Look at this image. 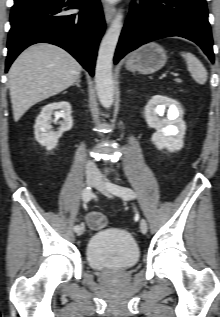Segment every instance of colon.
Returning a JSON list of instances; mask_svg holds the SVG:
<instances>
[{
    "label": "colon",
    "mask_w": 220,
    "mask_h": 317,
    "mask_svg": "<svg viewBox=\"0 0 220 317\" xmlns=\"http://www.w3.org/2000/svg\"><path fill=\"white\" fill-rule=\"evenodd\" d=\"M87 224L92 230H100L106 227L107 219L101 213L92 212L87 217Z\"/></svg>",
    "instance_id": "5ec220e1"
}]
</instances>
